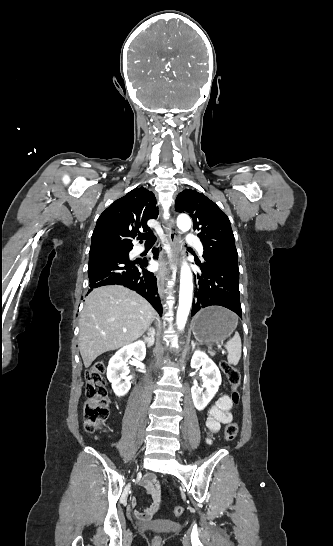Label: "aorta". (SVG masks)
<instances>
[{
	"label": "aorta",
	"mask_w": 333,
	"mask_h": 546,
	"mask_svg": "<svg viewBox=\"0 0 333 546\" xmlns=\"http://www.w3.org/2000/svg\"><path fill=\"white\" fill-rule=\"evenodd\" d=\"M177 226L182 231H188L191 227V219L185 214L177 218ZM193 281L189 266L185 263L181 268L179 306L176 315V324L179 330H183L192 304Z\"/></svg>",
	"instance_id": "1"
}]
</instances>
